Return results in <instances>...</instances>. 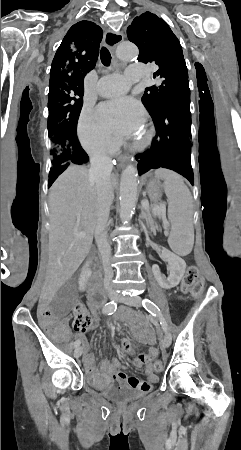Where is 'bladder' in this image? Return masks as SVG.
<instances>
[{"label": "bladder", "instance_id": "31cf9c89", "mask_svg": "<svg viewBox=\"0 0 241 450\" xmlns=\"http://www.w3.org/2000/svg\"><path fill=\"white\" fill-rule=\"evenodd\" d=\"M103 394L120 403L133 401L141 396V393L123 382H115L103 389Z\"/></svg>", "mask_w": 241, "mask_h": 450}]
</instances>
